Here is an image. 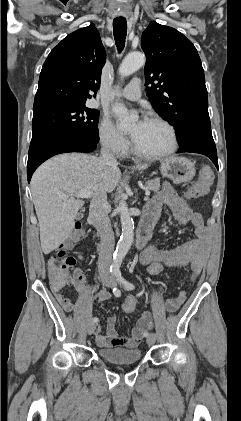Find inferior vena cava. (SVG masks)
<instances>
[{
	"label": "inferior vena cava",
	"mask_w": 241,
	"mask_h": 421,
	"mask_svg": "<svg viewBox=\"0 0 241 421\" xmlns=\"http://www.w3.org/2000/svg\"><path fill=\"white\" fill-rule=\"evenodd\" d=\"M100 161L104 165H117V159L110 150L103 146L100 153ZM109 205L105 193L92 199L89 208V218L100 235V252L98 259V271L100 276L111 277L110 266L112 263V253L114 251V233L108 217Z\"/></svg>",
	"instance_id": "inferior-vena-cava-1"
}]
</instances>
